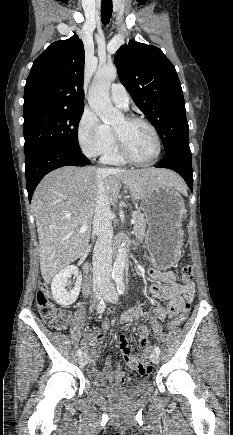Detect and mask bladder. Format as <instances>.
Wrapping results in <instances>:
<instances>
[{
    "label": "bladder",
    "mask_w": 233,
    "mask_h": 435,
    "mask_svg": "<svg viewBox=\"0 0 233 435\" xmlns=\"http://www.w3.org/2000/svg\"><path fill=\"white\" fill-rule=\"evenodd\" d=\"M145 377L148 376L146 375ZM149 387L150 384L148 382H138L132 385H127L121 382H104L97 386V390L112 398L131 399L137 397Z\"/></svg>",
    "instance_id": "31cf9c89"
}]
</instances>
